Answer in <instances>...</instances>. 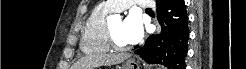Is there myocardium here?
<instances>
[{"label":"myocardium","mask_w":246,"mask_h":69,"mask_svg":"<svg viewBox=\"0 0 246 69\" xmlns=\"http://www.w3.org/2000/svg\"><path fill=\"white\" fill-rule=\"evenodd\" d=\"M107 39L111 47L116 48V49H122V48H128L129 46L127 45H122L121 43L116 40L112 34L110 24L107 28Z\"/></svg>","instance_id":"myocardium-1"}]
</instances>
